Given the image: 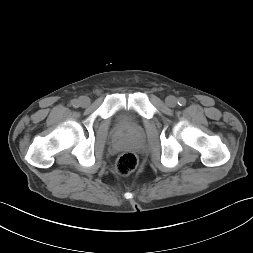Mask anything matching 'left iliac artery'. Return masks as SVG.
I'll return each mask as SVG.
<instances>
[{"instance_id": "obj_1", "label": "left iliac artery", "mask_w": 253, "mask_h": 253, "mask_svg": "<svg viewBox=\"0 0 253 253\" xmlns=\"http://www.w3.org/2000/svg\"><path fill=\"white\" fill-rule=\"evenodd\" d=\"M178 104H179L180 106H184V105L186 104L185 98L180 97V98L178 99Z\"/></svg>"}]
</instances>
